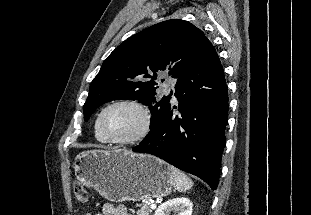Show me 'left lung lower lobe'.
Listing matches in <instances>:
<instances>
[{
	"mask_svg": "<svg viewBox=\"0 0 311 215\" xmlns=\"http://www.w3.org/2000/svg\"><path fill=\"white\" fill-rule=\"evenodd\" d=\"M175 91L178 107L169 100L133 151L155 155L215 190L226 141L228 90L223 67L207 37L177 79Z\"/></svg>",
	"mask_w": 311,
	"mask_h": 215,
	"instance_id": "left-lung-lower-lobe-1",
	"label": "left lung lower lobe"
}]
</instances>
